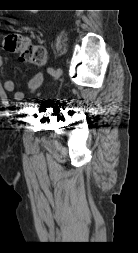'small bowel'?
I'll return each mask as SVG.
<instances>
[{"label": "small bowel", "instance_id": "c3829d8e", "mask_svg": "<svg viewBox=\"0 0 138 253\" xmlns=\"http://www.w3.org/2000/svg\"><path fill=\"white\" fill-rule=\"evenodd\" d=\"M26 43H29L26 41ZM3 65V58L0 56V67ZM48 72L51 73V70L48 69ZM44 81V73L39 72L36 75H34L27 83V90L29 94H34L37 92L39 87L42 85ZM4 89L7 92H12L14 99L17 101H21L25 98V92L22 90H15V84L12 80H7L4 82Z\"/></svg>", "mask_w": 138, "mask_h": 253}]
</instances>
